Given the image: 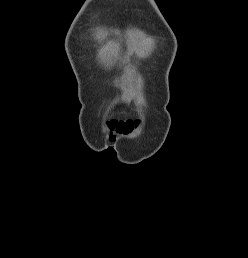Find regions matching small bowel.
I'll return each mask as SVG.
<instances>
[{"mask_svg":"<svg viewBox=\"0 0 248 258\" xmlns=\"http://www.w3.org/2000/svg\"><path fill=\"white\" fill-rule=\"evenodd\" d=\"M131 126H132V123H131V122H127V123L121 124V125L119 126V129H120V130H125V129L131 128Z\"/></svg>","mask_w":248,"mask_h":258,"instance_id":"c3829d8e","label":"small bowel"}]
</instances>
